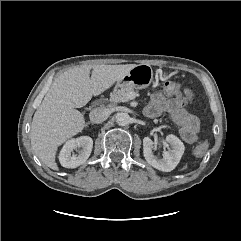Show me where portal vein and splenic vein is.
Returning a JSON list of instances; mask_svg holds the SVG:
<instances>
[{
    "mask_svg": "<svg viewBox=\"0 0 241 241\" xmlns=\"http://www.w3.org/2000/svg\"><path fill=\"white\" fill-rule=\"evenodd\" d=\"M127 97H128V99L130 100V99H133L134 98V93L133 92H131V93H129L128 95H127ZM112 102H120L119 100H112ZM123 102V101H122Z\"/></svg>",
    "mask_w": 241,
    "mask_h": 241,
    "instance_id": "18ae733b",
    "label": "portal vein and splenic vein"
}]
</instances>
